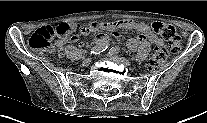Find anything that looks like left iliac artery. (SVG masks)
<instances>
[{"label":"left iliac artery","mask_w":207,"mask_h":123,"mask_svg":"<svg viewBox=\"0 0 207 123\" xmlns=\"http://www.w3.org/2000/svg\"><path fill=\"white\" fill-rule=\"evenodd\" d=\"M110 52L112 53V54H118L119 52H120V48H118V47H112L111 49H110Z\"/></svg>","instance_id":"44dca946"}]
</instances>
